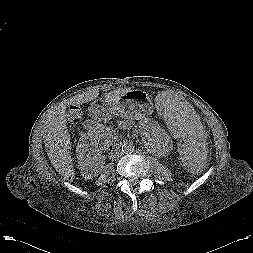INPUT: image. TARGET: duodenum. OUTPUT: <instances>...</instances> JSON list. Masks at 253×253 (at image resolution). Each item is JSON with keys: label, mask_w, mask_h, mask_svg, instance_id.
Segmentation results:
<instances>
[{"label": "duodenum", "mask_w": 253, "mask_h": 253, "mask_svg": "<svg viewBox=\"0 0 253 253\" xmlns=\"http://www.w3.org/2000/svg\"><path fill=\"white\" fill-rule=\"evenodd\" d=\"M92 113L102 115L106 112V107L101 104H96L91 109ZM94 120V119H93ZM94 125L90 124L89 129H93Z\"/></svg>", "instance_id": "1"}]
</instances>
